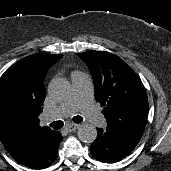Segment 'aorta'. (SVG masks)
I'll list each match as a JSON object with an SVG mask.
<instances>
[{"label":"aorta","instance_id":"762f6f07","mask_svg":"<svg viewBox=\"0 0 171 171\" xmlns=\"http://www.w3.org/2000/svg\"><path fill=\"white\" fill-rule=\"evenodd\" d=\"M70 90V83L63 78L52 80L48 87L49 95L56 100H63L68 97ZM77 136L84 143H92L97 138V130L93 125L85 123L79 127Z\"/></svg>","mask_w":171,"mask_h":171}]
</instances>
